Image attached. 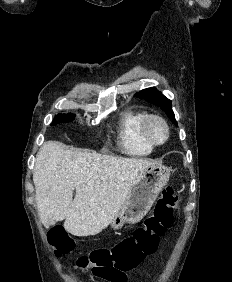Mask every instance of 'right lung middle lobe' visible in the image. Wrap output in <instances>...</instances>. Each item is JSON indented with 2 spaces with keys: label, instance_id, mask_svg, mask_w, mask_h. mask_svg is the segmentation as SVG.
I'll return each instance as SVG.
<instances>
[{
  "label": "right lung middle lobe",
  "instance_id": "1",
  "mask_svg": "<svg viewBox=\"0 0 232 282\" xmlns=\"http://www.w3.org/2000/svg\"><path fill=\"white\" fill-rule=\"evenodd\" d=\"M75 115L73 114H59L56 115L53 122L51 123V126L56 125L58 123H66V122H70L74 119Z\"/></svg>",
  "mask_w": 232,
  "mask_h": 282
}]
</instances>
